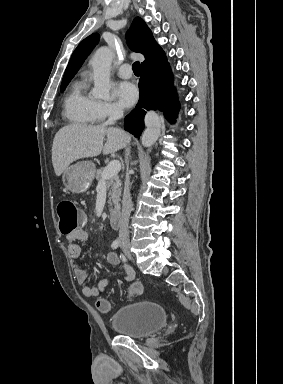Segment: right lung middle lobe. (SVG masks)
<instances>
[{
    "instance_id": "right-lung-middle-lobe-1",
    "label": "right lung middle lobe",
    "mask_w": 283,
    "mask_h": 384,
    "mask_svg": "<svg viewBox=\"0 0 283 384\" xmlns=\"http://www.w3.org/2000/svg\"><path fill=\"white\" fill-rule=\"evenodd\" d=\"M68 83H69V82L62 83V84H61V89H60L61 92H63V91L65 90V88H66V86L68 85Z\"/></svg>"
}]
</instances>
